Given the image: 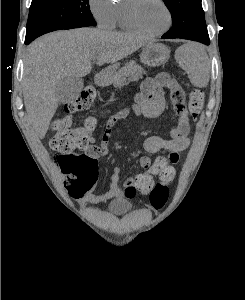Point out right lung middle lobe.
I'll return each mask as SVG.
<instances>
[{
    "instance_id": "dd1d6c3e",
    "label": "right lung middle lobe",
    "mask_w": 245,
    "mask_h": 300,
    "mask_svg": "<svg viewBox=\"0 0 245 300\" xmlns=\"http://www.w3.org/2000/svg\"><path fill=\"white\" fill-rule=\"evenodd\" d=\"M85 26H96L88 0H32L26 39L42 34Z\"/></svg>"
}]
</instances>
